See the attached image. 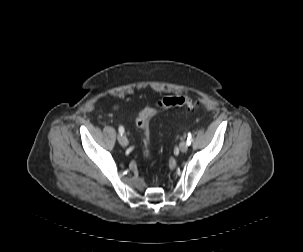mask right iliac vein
<instances>
[{
    "label": "right iliac vein",
    "mask_w": 303,
    "mask_h": 252,
    "mask_svg": "<svg viewBox=\"0 0 303 252\" xmlns=\"http://www.w3.org/2000/svg\"><path fill=\"white\" fill-rule=\"evenodd\" d=\"M118 141L123 147H126L129 144L128 139L122 134L118 136Z\"/></svg>",
    "instance_id": "63e3f726"
}]
</instances>
